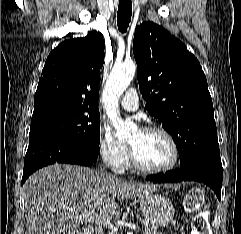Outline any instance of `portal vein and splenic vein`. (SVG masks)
<instances>
[{
  "mask_svg": "<svg viewBox=\"0 0 241 234\" xmlns=\"http://www.w3.org/2000/svg\"><path fill=\"white\" fill-rule=\"evenodd\" d=\"M79 217L81 218L82 216ZM90 220L101 225H106L111 230H116V227L111 223V221L104 216L98 215L95 219L90 217Z\"/></svg>",
  "mask_w": 241,
  "mask_h": 234,
  "instance_id": "obj_1",
  "label": "portal vein and splenic vein"
}]
</instances>
